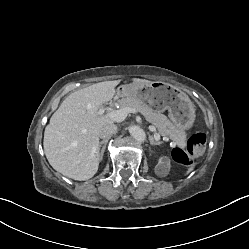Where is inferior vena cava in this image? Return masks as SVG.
<instances>
[{
  "label": "inferior vena cava",
  "instance_id": "1",
  "mask_svg": "<svg viewBox=\"0 0 249 249\" xmlns=\"http://www.w3.org/2000/svg\"><path fill=\"white\" fill-rule=\"evenodd\" d=\"M117 132V126L113 123L102 126L99 130V137L102 139H108L111 135Z\"/></svg>",
  "mask_w": 249,
  "mask_h": 249
}]
</instances>
